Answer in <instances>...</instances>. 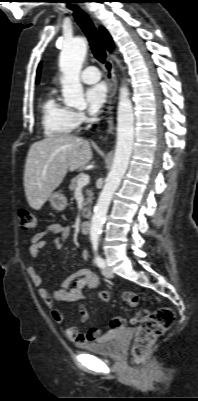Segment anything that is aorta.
I'll return each instance as SVG.
<instances>
[{"mask_svg": "<svg viewBox=\"0 0 198 401\" xmlns=\"http://www.w3.org/2000/svg\"><path fill=\"white\" fill-rule=\"evenodd\" d=\"M87 52V44L83 38H75L65 42L60 54L59 66L63 74L61 78L62 95L67 106L80 107L85 104L83 87L79 74ZM134 143V112L129 98V89L124 84L120 88L117 112V142L112 168L106 183L99 195L91 220L90 239L98 241L104 220L121 180L126 173Z\"/></svg>", "mask_w": 198, "mask_h": 401, "instance_id": "1", "label": "aorta"}]
</instances>
